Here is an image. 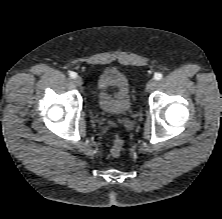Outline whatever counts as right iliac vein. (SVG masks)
<instances>
[{
  "mask_svg": "<svg viewBox=\"0 0 222 219\" xmlns=\"http://www.w3.org/2000/svg\"><path fill=\"white\" fill-rule=\"evenodd\" d=\"M73 82H74V84H75L76 86H78V87L83 84V80H82V78H81L80 76H77V77L73 80Z\"/></svg>",
  "mask_w": 222,
  "mask_h": 219,
  "instance_id": "1",
  "label": "right iliac vein"
}]
</instances>
